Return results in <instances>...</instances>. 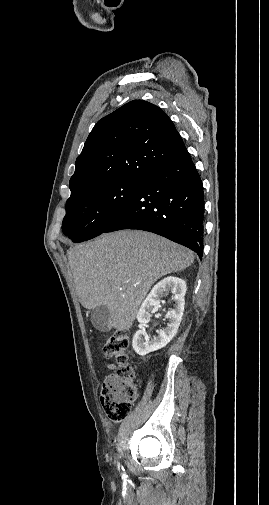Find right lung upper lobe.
Instances as JSON below:
<instances>
[{"instance_id":"obj_1","label":"right lung upper lobe","mask_w":269,"mask_h":505,"mask_svg":"<svg viewBox=\"0 0 269 505\" xmlns=\"http://www.w3.org/2000/svg\"><path fill=\"white\" fill-rule=\"evenodd\" d=\"M186 151L171 119L156 105L131 101L99 120L76 159L71 196L114 181H142Z\"/></svg>"}]
</instances>
